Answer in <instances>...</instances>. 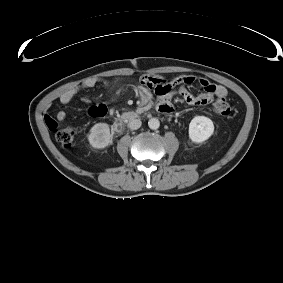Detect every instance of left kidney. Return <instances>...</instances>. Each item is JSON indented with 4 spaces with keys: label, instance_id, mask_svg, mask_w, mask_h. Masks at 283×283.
<instances>
[{
    "label": "left kidney",
    "instance_id": "5707ae66",
    "mask_svg": "<svg viewBox=\"0 0 283 283\" xmlns=\"http://www.w3.org/2000/svg\"><path fill=\"white\" fill-rule=\"evenodd\" d=\"M214 133V124L205 116H195L189 124V138L193 143H202Z\"/></svg>",
    "mask_w": 283,
    "mask_h": 283
}]
</instances>
